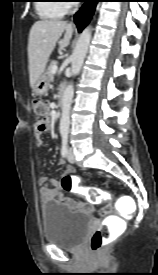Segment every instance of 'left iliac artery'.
<instances>
[{
	"label": "left iliac artery",
	"instance_id": "left-iliac-artery-1",
	"mask_svg": "<svg viewBox=\"0 0 158 275\" xmlns=\"http://www.w3.org/2000/svg\"><path fill=\"white\" fill-rule=\"evenodd\" d=\"M62 136V147H61V155L66 157L68 152V132L64 131L61 132Z\"/></svg>",
	"mask_w": 158,
	"mask_h": 275
}]
</instances>
